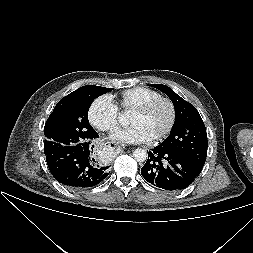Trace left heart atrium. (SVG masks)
<instances>
[{
  "instance_id": "1",
  "label": "left heart atrium",
  "mask_w": 253,
  "mask_h": 253,
  "mask_svg": "<svg viewBox=\"0 0 253 253\" xmlns=\"http://www.w3.org/2000/svg\"><path fill=\"white\" fill-rule=\"evenodd\" d=\"M112 138L128 144L146 143L154 139L143 126L138 124L119 129L113 134Z\"/></svg>"
}]
</instances>
